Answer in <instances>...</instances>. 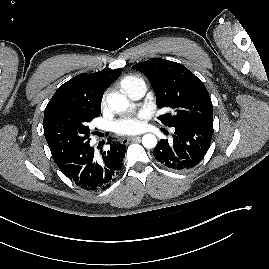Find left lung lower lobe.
<instances>
[{
    "instance_id": "1",
    "label": "left lung lower lobe",
    "mask_w": 269,
    "mask_h": 269,
    "mask_svg": "<svg viewBox=\"0 0 269 269\" xmlns=\"http://www.w3.org/2000/svg\"><path fill=\"white\" fill-rule=\"evenodd\" d=\"M213 134V123H189L175 126L173 142L161 140L153 150L154 157L168 168L187 170L201 162Z\"/></svg>"
}]
</instances>
